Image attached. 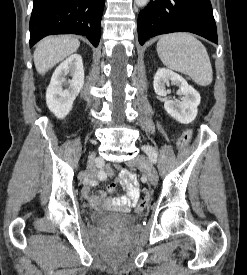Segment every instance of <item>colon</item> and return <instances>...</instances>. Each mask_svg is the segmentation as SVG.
<instances>
[{"label": "colon", "instance_id": "5ec220e1", "mask_svg": "<svg viewBox=\"0 0 247 275\" xmlns=\"http://www.w3.org/2000/svg\"><path fill=\"white\" fill-rule=\"evenodd\" d=\"M192 135H193V133L191 130L185 131L179 138V145L181 147L186 146L189 143V141L191 140ZM149 200H150V195H149L148 190H146V189L142 190L138 209L143 210L148 205Z\"/></svg>", "mask_w": 247, "mask_h": 275}]
</instances>
